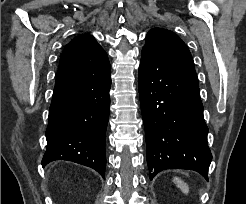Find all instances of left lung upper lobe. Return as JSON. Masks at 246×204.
Returning <instances> with one entry per match:
<instances>
[{
  "label": "left lung upper lobe",
  "mask_w": 246,
  "mask_h": 204,
  "mask_svg": "<svg viewBox=\"0 0 246 204\" xmlns=\"http://www.w3.org/2000/svg\"><path fill=\"white\" fill-rule=\"evenodd\" d=\"M143 50L150 51L167 61L194 68L193 59L185 43L172 31L151 29L146 36Z\"/></svg>",
  "instance_id": "obj_1"
}]
</instances>
